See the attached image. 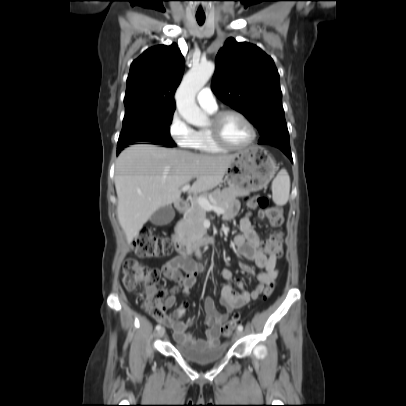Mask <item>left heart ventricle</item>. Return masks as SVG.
<instances>
[{
    "label": "left heart ventricle",
    "instance_id": "left-heart-ventricle-1",
    "mask_svg": "<svg viewBox=\"0 0 406 406\" xmlns=\"http://www.w3.org/2000/svg\"><path fill=\"white\" fill-rule=\"evenodd\" d=\"M221 133L224 140L235 146H241L247 143L251 133L248 126L236 115H226L221 123Z\"/></svg>",
    "mask_w": 406,
    "mask_h": 406
}]
</instances>
